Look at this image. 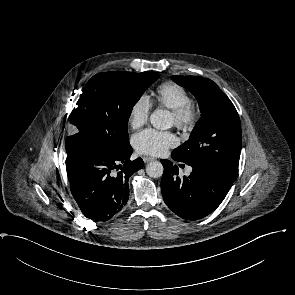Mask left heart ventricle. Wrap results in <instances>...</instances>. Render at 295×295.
Masks as SVG:
<instances>
[{"mask_svg": "<svg viewBox=\"0 0 295 295\" xmlns=\"http://www.w3.org/2000/svg\"><path fill=\"white\" fill-rule=\"evenodd\" d=\"M172 122H174V118H173V116H172Z\"/></svg>", "mask_w": 295, "mask_h": 295, "instance_id": "1", "label": "left heart ventricle"}]
</instances>
